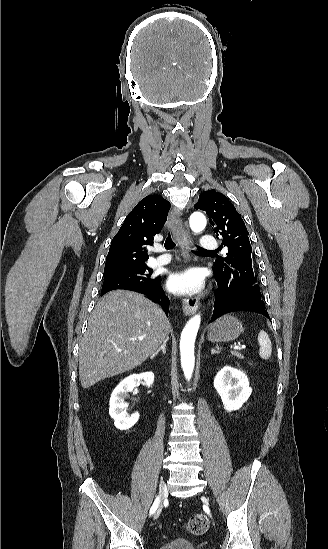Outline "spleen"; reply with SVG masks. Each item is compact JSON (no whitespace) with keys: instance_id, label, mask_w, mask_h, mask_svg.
Returning <instances> with one entry per match:
<instances>
[{"instance_id":"3e777b00","label":"spleen","mask_w":328,"mask_h":549,"mask_svg":"<svg viewBox=\"0 0 328 549\" xmlns=\"http://www.w3.org/2000/svg\"><path fill=\"white\" fill-rule=\"evenodd\" d=\"M258 343H259V355L261 357V359H269V357H271V353H272V345H271V341L267 335V333H265V331H260V333H258Z\"/></svg>"}]
</instances>
